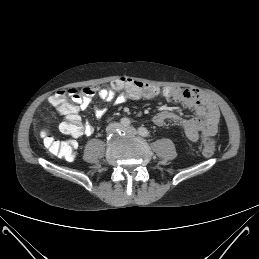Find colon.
<instances>
[{
  "label": "colon",
  "instance_id": "1",
  "mask_svg": "<svg viewBox=\"0 0 259 259\" xmlns=\"http://www.w3.org/2000/svg\"><path fill=\"white\" fill-rule=\"evenodd\" d=\"M110 89L115 91H126L132 95L140 97H150L156 94L155 86L137 81L131 78H120L110 83ZM72 92V91H71ZM64 102L62 96L54 99V103L61 105ZM60 129L62 132L73 137L79 135L81 130V122L77 118L64 120ZM45 147L55 156L73 161L76 158L77 142L73 139L58 141L49 136L46 132L42 133ZM202 153L206 157H210L215 152V142L211 138H205L202 142Z\"/></svg>",
  "mask_w": 259,
  "mask_h": 259
}]
</instances>
